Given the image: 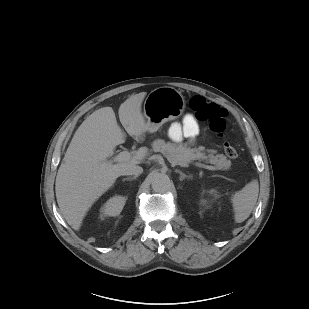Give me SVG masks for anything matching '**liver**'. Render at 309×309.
<instances>
[{
	"mask_svg": "<svg viewBox=\"0 0 309 309\" xmlns=\"http://www.w3.org/2000/svg\"><path fill=\"white\" fill-rule=\"evenodd\" d=\"M146 92L135 94L119 107V119L136 141L144 140L147 122L141 113ZM125 142V134L117 124L112 107H103L87 117L75 132L58 169L55 182L57 203L67 223L79 230L94 202L120 176L121 171L139 164L147 149L140 148L134 159L113 164L107 159L117 145Z\"/></svg>",
	"mask_w": 309,
	"mask_h": 309,
	"instance_id": "1",
	"label": "liver"
}]
</instances>
